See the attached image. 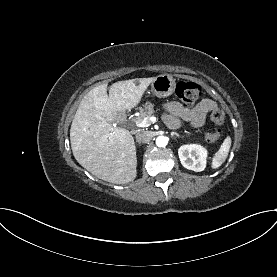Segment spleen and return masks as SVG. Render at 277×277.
Segmentation results:
<instances>
[{
	"label": "spleen",
	"instance_id": "obj_1",
	"mask_svg": "<svg viewBox=\"0 0 277 277\" xmlns=\"http://www.w3.org/2000/svg\"><path fill=\"white\" fill-rule=\"evenodd\" d=\"M230 147H231V138L228 136L224 139L218 152H216L212 160V168L214 169L218 168L224 163V161L226 160L229 154Z\"/></svg>",
	"mask_w": 277,
	"mask_h": 277
}]
</instances>
